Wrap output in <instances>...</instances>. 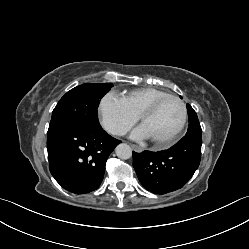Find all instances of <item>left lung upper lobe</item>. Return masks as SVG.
<instances>
[{"mask_svg":"<svg viewBox=\"0 0 249 249\" xmlns=\"http://www.w3.org/2000/svg\"><path fill=\"white\" fill-rule=\"evenodd\" d=\"M187 110H188V122H189L188 126L189 127H188V131L185 136H201L202 129L198 121L196 112L193 110V108L189 104H187Z\"/></svg>","mask_w":249,"mask_h":249,"instance_id":"1","label":"left lung upper lobe"}]
</instances>
